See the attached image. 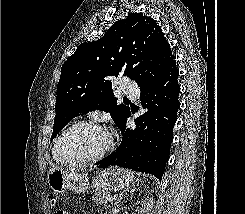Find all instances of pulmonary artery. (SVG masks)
<instances>
[{"instance_id":"obj_1","label":"pulmonary artery","mask_w":245,"mask_h":214,"mask_svg":"<svg viewBox=\"0 0 245 214\" xmlns=\"http://www.w3.org/2000/svg\"><path fill=\"white\" fill-rule=\"evenodd\" d=\"M124 93L130 98L138 99L140 95L139 87L134 82L125 81L124 82Z\"/></svg>"}]
</instances>
